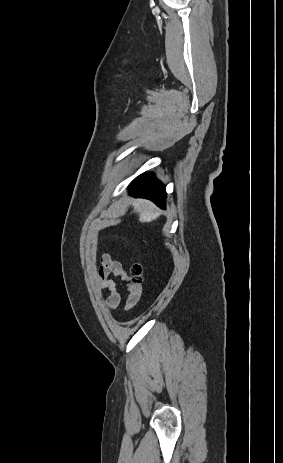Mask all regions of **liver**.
<instances>
[{
  "label": "liver",
  "mask_w": 283,
  "mask_h": 463,
  "mask_svg": "<svg viewBox=\"0 0 283 463\" xmlns=\"http://www.w3.org/2000/svg\"><path fill=\"white\" fill-rule=\"evenodd\" d=\"M133 206L139 212L140 222H151L160 216V212L148 201L135 200Z\"/></svg>",
  "instance_id": "liver-1"
}]
</instances>
